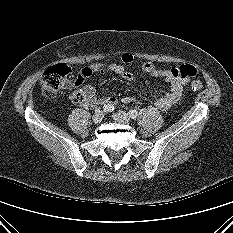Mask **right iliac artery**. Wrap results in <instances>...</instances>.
<instances>
[{
	"label": "right iliac artery",
	"instance_id": "right-iliac-artery-1",
	"mask_svg": "<svg viewBox=\"0 0 233 233\" xmlns=\"http://www.w3.org/2000/svg\"><path fill=\"white\" fill-rule=\"evenodd\" d=\"M114 109H115V107H114L113 105L107 104V105H104V106H103V111H104L105 113H110V112L114 111ZM98 111H99V109L96 110V112H98Z\"/></svg>",
	"mask_w": 233,
	"mask_h": 233
}]
</instances>
